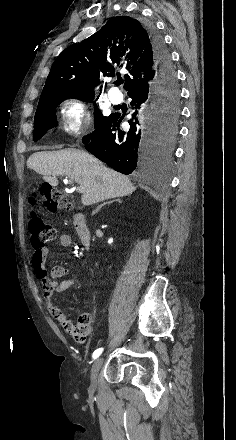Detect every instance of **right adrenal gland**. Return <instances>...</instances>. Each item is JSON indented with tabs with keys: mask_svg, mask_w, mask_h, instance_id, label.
I'll use <instances>...</instances> for the list:
<instances>
[{
	"mask_svg": "<svg viewBox=\"0 0 236 440\" xmlns=\"http://www.w3.org/2000/svg\"><path fill=\"white\" fill-rule=\"evenodd\" d=\"M113 202H119V203H121L122 201H121L120 198H118V199H115V200H112V201L105 202V203L101 204L100 206H98L97 209H96L93 213H94V214H95V213H98L104 205H106V204H110V203H113Z\"/></svg>",
	"mask_w": 236,
	"mask_h": 440,
	"instance_id": "2a0ac1e0",
	"label": "right adrenal gland"
}]
</instances>
